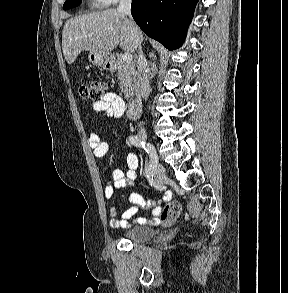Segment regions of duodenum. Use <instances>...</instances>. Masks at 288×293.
Segmentation results:
<instances>
[{
  "label": "duodenum",
  "mask_w": 288,
  "mask_h": 293,
  "mask_svg": "<svg viewBox=\"0 0 288 293\" xmlns=\"http://www.w3.org/2000/svg\"><path fill=\"white\" fill-rule=\"evenodd\" d=\"M108 65L110 67H112L113 61L110 60ZM140 108H141V98L139 96H137L134 99H132L131 102L129 103V110L133 115H137Z\"/></svg>",
  "instance_id": "obj_1"
}]
</instances>
